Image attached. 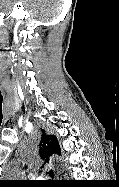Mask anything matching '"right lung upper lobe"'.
Wrapping results in <instances>:
<instances>
[{
	"label": "right lung upper lobe",
	"instance_id": "obj_1",
	"mask_svg": "<svg viewBox=\"0 0 119 187\" xmlns=\"http://www.w3.org/2000/svg\"><path fill=\"white\" fill-rule=\"evenodd\" d=\"M39 153L41 159L44 160L45 163L49 162L50 156L54 154L61 155L60 147L56 136H48L45 130L42 129V137L39 143ZM52 172L50 171V174Z\"/></svg>",
	"mask_w": 119,
	"mask_h": 187
}]
</instances>
